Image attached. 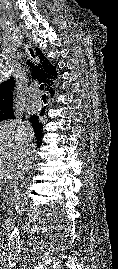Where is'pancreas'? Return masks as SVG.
<instances>
[{
    "mask_svg": "<svg viewBox=\"0 0 118 269\" xmlns=\"http://www.w3.org/2000/svg\"><path fill=\"white\" fill-rule=\"evenodd\" d=\"M6 190H7V188H6ZM10 205V200L7 198V206H9Z\"/></svg>",
    "mask_w": 118,
    "mask_h": 269,
    "instance_id": "cf45deb5",
    "label": "pancreas"
}]
</instances>
